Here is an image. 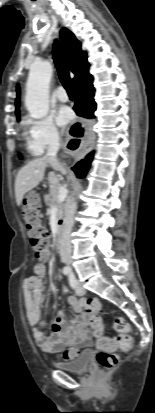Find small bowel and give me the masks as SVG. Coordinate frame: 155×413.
I'll list each match as a JSON object with an SVG mask.
<instances>
[{"label":"small bowel","instance_id":"1","mask_svg":"<svg viewBox=\"0 0 155 413\" xmlns=\"http://www.w3.org/2000/svg\"><path fill=\"white\" fill-rule=\"evenodd\" d=\"M48 259L49 253L45 258L39 259L40 263L34 265L32 273L25 278L24 307L26 317L32 326L34 341L42 350L48 353H61L65 359H73L79 354L81 348L91 344L92 335L99 337V333H103L104 324L102 319H97L89 312H84L85 298L69 296L67 302L78 313L77 318L68 323L66 313L60 311L53 324L52 332L49 335L44 332L43 328L46 322L42 320L41 304L46 291V286L43 283L44 262ZM88 327L91 328V331ZM111 341L115 344L113 340Z\"/></svg>","mask_w":155,"mask_h":413}]
</instances>
